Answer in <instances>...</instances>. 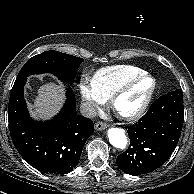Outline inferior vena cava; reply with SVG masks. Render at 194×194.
I'll return each mask as SVG.
<instances>
[{
	"mask_svg": "<svg viewBox=\"0 0 194 194\" xmlns=\"http://www.w3.org/2000/svg\"><path fill=\"white\" fill-rule=\"evenodd\" d=\"M80 113L88 118H94L97 115V111L91 102H82L80 105Z\"/></svg>",
	"mask_w": 194,
	"mask_h": 194,
	"instance_id": "1",
	"label": "inferior vena cava"
}]
</instances>
